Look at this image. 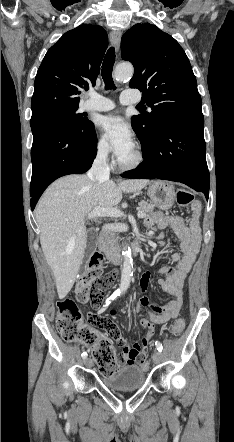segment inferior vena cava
<instances>
[{"label":"inferior vena cava","mask_w":234,"mask_h":442,"mask_svg":"<svg viewBox=\"0 0 234 442\" xmlns=\"http://www.w3.org/2000/svg\"><path fill=\"white\" fill-rule=\"evenodd\" d=\"M107 156V148H101L98 150L93 165L87 174L91 180L104 181L109 179L110 168L107 164Z\"/></svg>","instance_id":"1"}]
</instances>
